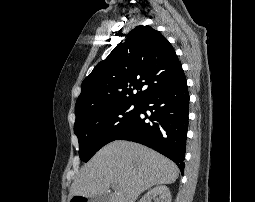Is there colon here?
I'll return each instance as SVG.
<instances>
[{
    "label": "colon",
    "instance_id": "5ec220e1",
    "mask_svg": "<svg viewBox=\"0 0 255 202\" xmlns=\"http://www.w3.org/2000/svg\"><path fill=\"white\" fill-rule=\"evenodd\" d=\"M71 202H87V201L82 197H75L72 199Z\"/></svg>",
    "mask_w": 255,
    "mask_h": 202
}]
</instances>
